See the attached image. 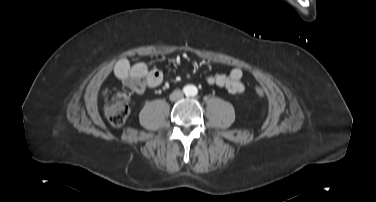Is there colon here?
<instances>
[{"instance_id":"5ec220e1","label":"colon","mask_w":376,"mask_h":202,"mask_svg":"<svg viewBox=\"0 0 376 202\" xmlns=\"http://www.w3.org/2000/svg\"><path fill=\"white\" fill-rule=\"evenodd\" d=\"M258 96L264 95L261 87L256 89ZM104 113L108 122L113 127L122 126L129 115V97L125 93H118L108 99L104 103Z\"/></svg>"}]
</instances>
